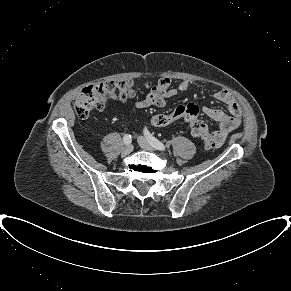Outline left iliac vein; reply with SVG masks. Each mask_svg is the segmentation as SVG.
<instances>
[{"instance_id": "4c4485c4", "label": "left iliac vein", "mask_w": 291, "mask_h": 291, "mask_svg": "<svg viewBox=\"0 0 291 291\" xmlns=\"http://www.w3.org/2000/svg\"><path fill=\"white\" fill-rule=\"evenodd\" d=\"M139 145L146 151H153L154 147L150 144V142L143 136L138 137Z\"/></svg>"}]
</instances>
